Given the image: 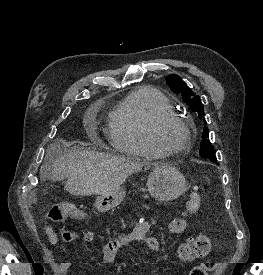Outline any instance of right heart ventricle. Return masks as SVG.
<instances>
[{
    "mask_svg": "<svg viewBox=\"0 0 263 275\" xmlns=\"http://www.w3.org/2000/svg\"><path fill=\"white\" fill-rule=\"evenodd\" d=\"M164 112H174V108L159 90L143 87L130 92L109 116L108 137L112 147L135 157H159L149 143L148 129Z\"/></svg>",
    "mask_w": 263,
    "mask_h": 275,
    "instance_id": "right-heart-ventricle-1",
    "label": "right heart ventricle"
}]
</instances>
